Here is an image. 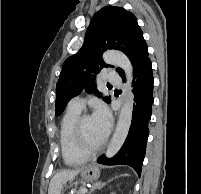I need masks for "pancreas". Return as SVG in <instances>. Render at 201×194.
I'll return each instance as SVG.
<instances>
[{
  "mask_svg": "<svg viewBox=\"0 0 201 194\" xmlns=\"http://www.w3.org/2000/svg\"><path fill=\"white\" fill-rule=\"evenodd\" d=\"M84 189H85L84 187H81L78 191L75 192V194H86V192L83 193Z\"/></svg>",
  "mask_w": 201,
  "mask_h": 194,
  "instance_id": "1",
  "label": "pancreas"
}]
</instances>
